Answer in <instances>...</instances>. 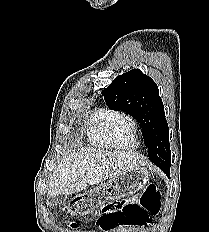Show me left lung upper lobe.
<instances>
[{
    "instance_id": "5c2ea615",
    "label": "left lung upper lobe",
    "mask_w": 209,
    "mask_h": 232,
    "mask_svg": "<svg viewBox=\"0 0 209 232\" xmlns=\"http://www.w3.org/2000/svg\"><path fill=\"white\" fill-rule=\"evenodd\" d=\"M104 99L110 109L126 112L140 123L150 160L169 175V128L156 83L133 69L117 76L104 89Z\"/></svg>"
}]
</instances>
